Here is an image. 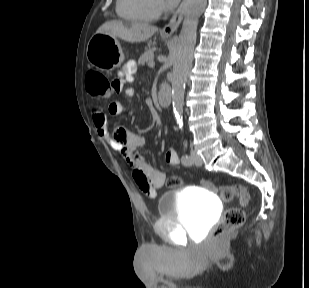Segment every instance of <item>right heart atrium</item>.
Returning a JSON list of instances; mask_svg holds the SVG:
<instances>
[{
  "instance_id": "obj_1",
  "label": "right heart atrium",
  "mask_w": 309,
  "mask_h": 288,
  "mask_svg": "<svg viewBox=\"0 0 309 288\" xmlns=\"http://www.w3.org/2000/svg\"><path fill=\"white\" fill-rule=\"evenodd\" d=\"M157 6L159 8V10H163L164 9V3L162 0H156Z\"/></svg>"
}]
</instances>
